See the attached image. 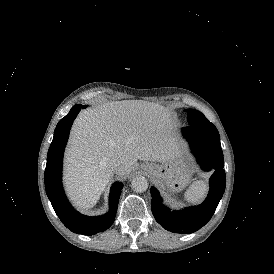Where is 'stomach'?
Wrapping results in <instances>:
<instances>
[{
	"instance_id": "obj_1",
	"label": "stomach",
	"mask_w": 274,
	"mask_h": 274,
	"mask_svg": "<svg viewBox=\"0 0 274 274\" xmlns=\"http://www.w3.org/2000/svg\"><path fill=\"white\" fill-rule=\"evenodd\" d=\"M146 165L150 167V170L146 171L147 175L153 181H160L175 191L182 189L189 181L190 172L181 162L178 153L160 165L154 163Z\"/></svg>"
}]
</instances>
